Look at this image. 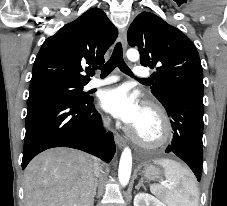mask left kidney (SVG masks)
Listing matches in <instances>:
<instances>
[{
    "instance_id": "obj_1",
    "label": "left kidney",
    "mask_w": 227,
    "mask_h": 206,
    "mask_svg": "<svg viewBox=\"0 0 227 206\" xmlns=\"http://www.w3.org/2000/svg\"><path fill=\"white\" fill-rule=\"evenodd\" d=\"M134 206H166L159 199L148 193H138L134 197Z\"/></svg>"
}]
</instances>
